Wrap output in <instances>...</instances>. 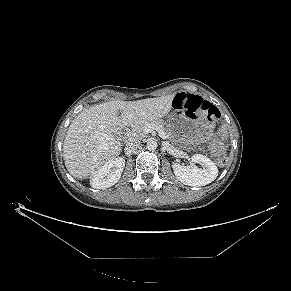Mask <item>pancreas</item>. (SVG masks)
Returning <instances> with one entry per match:
<instances>
[{
    "mask_svg": "<svg viewBox=\"0 0 291 291\" xmlns=\"http://www.w3.org/2000/svg\"><path fill=\"white\" fill-rule=\"evenodd\" d=\"M149 124L155 125L156 127H159L160 129H162L163 131H167L163 120L157 119V120L145 121V122L137 124L131 132V137L136 140H140L143 137H145L146 132L144 131V128Z\"/></svg>",
    "mask_w": 291,
    "mask_h": 291,
    "instance_id": "pancreas-1",
    "label": "pancreas"
}]
</instances>
